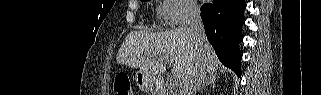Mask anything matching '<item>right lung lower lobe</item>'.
Here are the masks:
<instances>
[{
	"mask_svg": "<svg viewBox=\"0 0 321 95\" xmlns=\"http://www.w3.org/2000/svg\"><path fill=\"white\" fill-rule=\"evenodd\" d=\"M244 0H213L201 8V18L209 42L223 65L241 75L242 25L245 21Z\"/></svg>",
	"mask_w": 321,
	"mask_h": 95,
	"instance_id": "obj_1",
	"label": "right lung lower lobe"
}]
</instances>
